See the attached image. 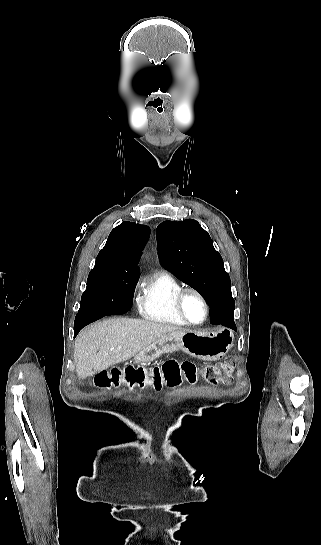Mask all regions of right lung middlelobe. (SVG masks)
I'll return each mask as SVG.
<instances>
[{"label": "right lung middle lobe", "instance_id": "dd1d6c3e", "mask_svg": "<svg viewBox=\"0 0 321 545\" xmlns=\"http://www.w3.org/2000/svg\"><path fill=\"white\" fill-rule=\"evenodd\" d=\"M137 281V278L116 277L106 272H90L75 322L102 318L113 299L134 293Z\"/></svg>", "mask_w": 321, "mask_h": 545}]
</instances>
